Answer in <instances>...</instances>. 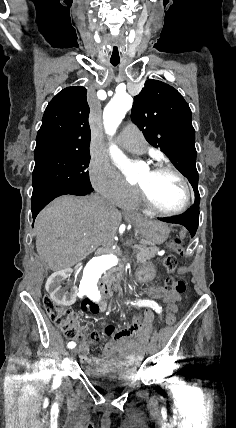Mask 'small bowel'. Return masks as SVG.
<instances>
[{
    "label": "small bowel",
    "instance_id": "1",
    "mask_svg": "<svg viewBox=\"0 0 236 428\" xmlns=\"http://www.w3.org/2000/svg\"><path fill=\"white\" fill-rule=\"evenodd\" d=\"M148 293L151 297L147 299L150 305L147 306V310L141 318L140 326L133 327L130 325L121 329H115L112 324L105 325V335L112 336V340L103 348V355L105 358L138 361L143 357L144 346L150 332L154 313L162 311V307L156 299H164L169 307L175 305L178 301L177 296L168 294L161 287H152L149 289ZM105 310L106 304L102 303L99 306V311L104 312ZM98 338L99 336L97 334H91L92 340H96ZM80 359L82 362L89 365H97L99 363V358L91 357L89 355V341H84L81 344Z\"/></svg>",
    "mask_w": 236,
    "mask_h": 428
}]
</instances>
